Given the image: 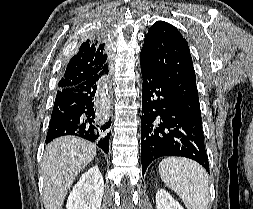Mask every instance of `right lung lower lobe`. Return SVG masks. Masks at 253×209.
<instances>
[{"mask_svg":"<svg viewBox=\"0 0 253 209\" xmlns=\"http://www.w3.org/2000/svg\"><path fill=\"white\" fill-rule=\"evenodd\" d=\"M101 76H93L80 84L57 91L46 144L57 137L74 135L93 142L108 153L111 119L101 118L97 109Z\"/></svg>","mask_w":253,"mask_h":209,"instance_id":"1","label":"right lung lower lobe"}]
</instances>
